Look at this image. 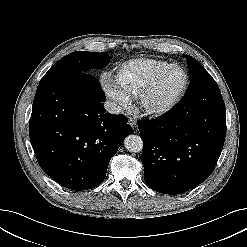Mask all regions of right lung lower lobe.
Returning a JSON list of instances; mask_svg holds the SVG:
<instances>
[{"label": "right lung lower lobe", "instance_id": "right-lung-lower-lobe-1", "mask_svg": "<svg viewBox=\"0 0 247 247\" xmlns=\"http://www.w3.org/2000/svg\"><path fill=\"white\" fill-rule=\"evenodd\" d=\"M104 93L88 73L42 78L33 101L30 141L42 170L72 190L101 184L110 159L133 133L124 115L105 112Z\"/></svg>", "mask_w": 247, "mask_h": 247}]
</instances>
